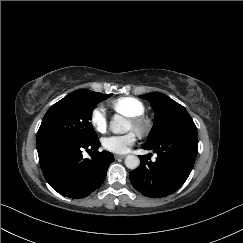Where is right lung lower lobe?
Masks as SVG:
<instances>
[{"label": "right lung lower lobe", "mask_w": 243, "mask_h": 243, "mask_svg": "<svg viewBox=\"0 0 243 243\" xmlns=\"http://www.w3.org/2000/svg\"><path fill=\"white\" fill-rule=\"evenodd\" d=\"M100 143L93 140L80 143L65 139H50L37 143L39 162L45 179L63 196L83 198L99 188L114 161L112 153L99 152ZM94 150L91 159L82 151Z\"/></svg>", "instance_id": "1"}]
</instances>
